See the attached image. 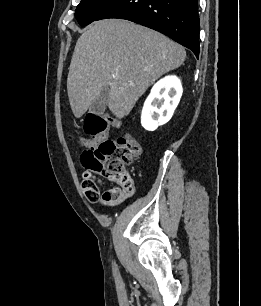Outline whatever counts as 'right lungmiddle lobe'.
Here are the masks:
<instances>
[{
    "label": "right lung middle lobe",
    "mask_w": 261,
    "mask_h": 306,
    "mask_svg": "<svg viewBox=\"0 0 261 306\" xmlns=\"http://www.w3.org/2000/svg\"><path fill=\"white\" fill-rule=\"evenodd\" d=\"M116 0H81L75 11V17L81 26L95 21Z\"/></svg>",
    "instance_id": "right-lung-middle-lobe-1"
}]
</instances>
